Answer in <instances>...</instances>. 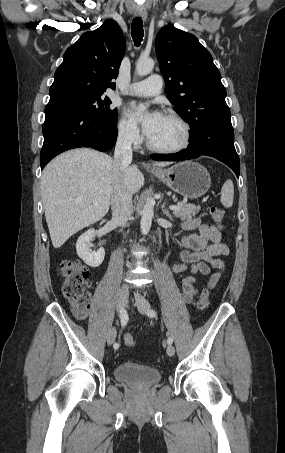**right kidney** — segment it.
I'll use <instances>...</instances> for the list:
<instances>
[{
  "label": "right kidney",
  "instance_id": "1",
  "mask_svg": "<svg viewBox=\"0 0 285 453\" xmlns=\"http://www.w3.org/2000/svg\"><path fill=\"white\" fill-rule=\"evenodd\" d=\"M95 237L93 228L83 233L76 242L78 256L90 267H98L102 264L105 257V250L100 248L96 252L91 250V241Z\"/></svg>",
  "mask_w": 285,
  "mask_h": 453
}]
</instances>
